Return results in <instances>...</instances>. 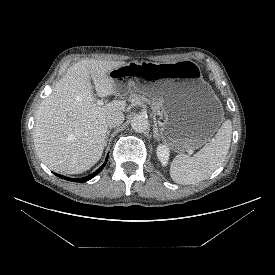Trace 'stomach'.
<instances>
[{
	"label": "stomach",
	"instance_id": "stomach-1",
	"mask_svg": "<svg viewBox=\"0 0 275 275\" xmlns=\"http://www.w3.org/2000/svg\"><path fill=\"white\" fill-rule=\"evenodd\" d=\"M117 91L134 89L162 102L161 138L183 153L204 145L223 121V108L198 64L191 60L169 63L129 62L108 73Z\"/></svg>",
	"mask_w": 275,
	"mask_h": 275
}]
</instances>
